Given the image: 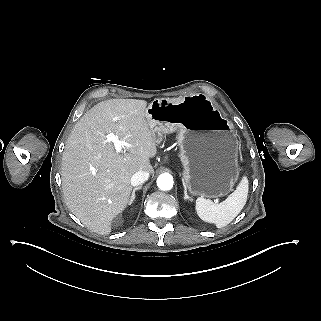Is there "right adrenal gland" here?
Instances as JSON below:
<instances>
[{
	"mask_svg": "<svg viewBox=\"0 0 321 321\" xmlns=\"http://www.w3.org/2000/svg\"><path fill=\"white\" fill-rule=\"evenodd\" d=\"M140 189H142V186H138L133 189L132 194L129 199V202H128V205H131L133 203V201L135 200V192Z\"/></svg>",
	"mask_w": 321,
	"mask_h": 321,
	"instance_id": "1",
	"label": "right adrenal gland"
}]
</instances>
